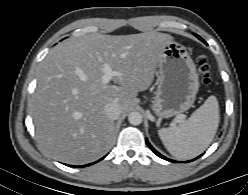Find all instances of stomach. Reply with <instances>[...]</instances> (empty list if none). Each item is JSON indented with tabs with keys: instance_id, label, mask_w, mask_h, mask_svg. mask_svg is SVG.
<instances>
[{
	"instance_id": "1",
	"label": "stomach",
	"mask_w": 248,
	"mask_h": 195,
	"mask_svg": "<svg viewBox=\"0 0 248 195\" xmlns=\"http://www.w3.org/2000/svg\"><path fill=\"white\" fill-rule=\"evenodd\" d=\"M159 84L151 109L159 118L188 110L199 88L195 64L186 48L173 41L165 44L159 61Z\"/></svg>"
}]
</instances>
